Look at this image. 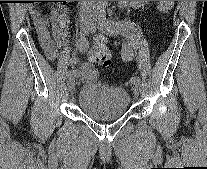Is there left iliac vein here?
<instances>
[{"mask_svg":"<svg viewBox=\"0 0 207 169\" xmlns=\"http://www.w3.org/2000/svg\"><path fill=\"white\" fill-rule=\"evenodd\" d=\"M96 29H98L101 32L106 33V34H112L111 32L107 31L106 28L100 26L99 17L96 18L94 21H92V26L90 28V31L94 32ZM133 91L136 95H139L141 93L140 83H136L133 85Z\"/></svg>","mask_w":207,"mask_h":169,"instance_id":"4c4485c4","label":"left iliac vein"}]
</instances>
